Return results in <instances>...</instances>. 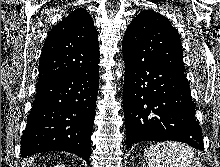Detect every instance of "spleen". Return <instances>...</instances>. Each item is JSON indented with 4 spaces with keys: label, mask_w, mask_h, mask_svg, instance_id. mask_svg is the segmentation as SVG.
<instances>
[{
    "label": "spleen",
    "mask_w": 220,
    "mask_h": 167,
    "mask_svg": "<svg viewBox=\"0 0 220 167\" xmlns=\"http://www.w3.org/2000/svg\"><path fill=\"white\" fill-rule=\"evenodd\" d=\"M148 167H202L193 149L179 142H160L144 152Z\"/></svg>",
    "instance_id": "3e777b00"
}]
</instances>
